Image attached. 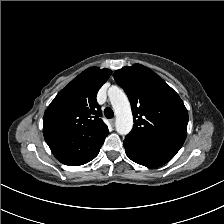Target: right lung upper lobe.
Listing matches in <instances>:
<instances>
[{
    "instance_id": "1",
    "label": "right lung upper lobe",
    "mask_w": 224,
    "mask_h": 224,
    "mask_svg": "<svg viewBox=\"0 0 224 224\" xmlns=\"http://www.w3.org/2000/svg\"><path fill=\"white\" fill-rule=\"evenodd\" d=\"M111 73L106 68L91 67L74 78L46 109L43 129L54 128L85 137L109 133L100 118L102 113L96 95Z\"/></svg>"
}]
</instances>
